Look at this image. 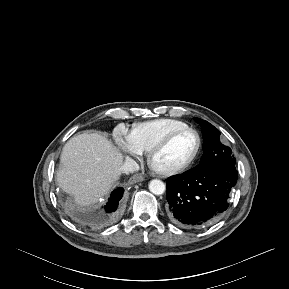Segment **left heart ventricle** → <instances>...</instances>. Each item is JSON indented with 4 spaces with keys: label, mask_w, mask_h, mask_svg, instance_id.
Returning <instances> with one entry per match:
<instances>
[{
    "label": "left heart ventricle",
    "mask_w": 289,
    "mask_h": 289,
    "mask_svg": "<svg viewBox=\"0 0 289 289\" xmlns=\"http://www.w3.org/2000/svg\"><path fill=\"white\" fill-rule=\"evenodd\" d=\"M197 145V138L191 132L177 135L154 158V165L159 169L176 167L190 158Z\"/></svg>",
    "instance_id": "left-heart-ventricle-1"
}]
</instances>
